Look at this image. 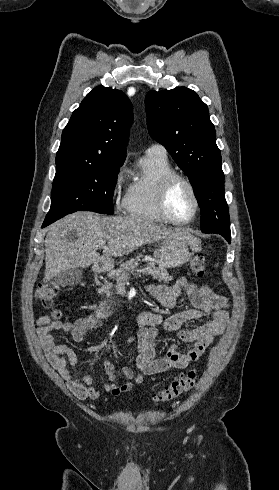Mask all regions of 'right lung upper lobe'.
Listing matches in <instances>:
<instances>
[{
    "label": "right lung upper lobe",
    "mask_w": 279,
    "mask_h": 490,
    "mask_svg": "<svg viewBox=\"0 0 279 490\" xmlns=\"http://www.w3.org/2000/svg\"><path fill=\"white\" fill-rule=\"evenodd\" d=\"M132 121V107L124 92L96 87L64 128L56 166L124 163Z\"/></svg>",
    "instance_id": "cb5924a9"
}]
</instances>
